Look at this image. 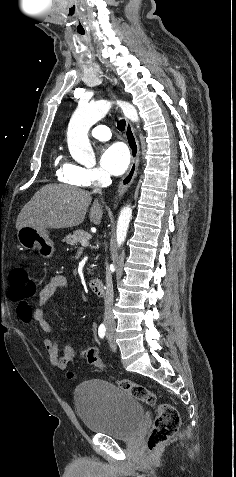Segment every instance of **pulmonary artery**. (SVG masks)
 Returning a JSON list of instances; mask_svg holds the SVG:
<instances>
[{"label":"pulmonary artery","mask_w":236,"mask_h":477,"mask_svg":"<svg viewBox=\"0 0 236 477\" xmlns=\"http://www.w3.org/2000/svg\"><path fill=\"white\" fill-rule=\"evenodd\" d=\"M90 134L92 137L101 141H107L111 138L110 129L105 125L94 126L91 129Z\"/></svg>","instance_id":"e3ab8cb5"}]
</instances>
